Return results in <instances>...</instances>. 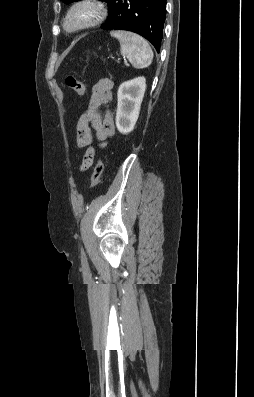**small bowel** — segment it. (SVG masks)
Instances as JSON below:
<instances>
[{
  "instance_id": "obj_1",
  "label": "small bowel",
  "mask_w": 254,
  "mask_h": 397,
  "mask_svg": "<svg viewBox=\"0 0 254 397\" xmlns=\"http://www.w3.org/2000/svg\"><path fill=\"white\" fill-rule=\"evenodd\" d=\"M113 83L110 79L104 78L99 80L92 88V93L88 101L86 110L78 119L77 130V145L81 148H86L80 171L84 172L89 169L93 163L95 149L92 144V129L95 130V135L102 146L106 145V140L115 133L114 119L111 111L106 109L103 113L100 112V106H108L112 100Z\"/></svg>"
}]
</instances>
